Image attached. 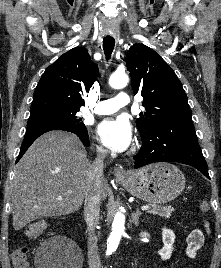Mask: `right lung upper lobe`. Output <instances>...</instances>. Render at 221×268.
Returning <instances> with one entry per match:
<instances>
[{
	"mask_svg": "<svg viewBox=\"0 0 221 268\" xmlns=\"http://www.w3.org/2000/svg\"><path fill=\"white\" fill-rule=\"evenodd\" d=\"M98 67L84 47L64 53L42 75L33 94L30 115L79 111L83 95L96 81Z\"/></svg>",
	"mask_w": 221,
	"mask_h": 268,
	"instance_id": "cb5924a9",
	"label": "right lung upper lobe"
}]
</instances>
